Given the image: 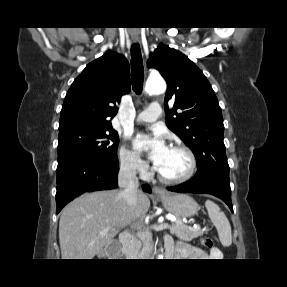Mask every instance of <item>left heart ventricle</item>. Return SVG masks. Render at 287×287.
I'll return each mask as SVG.
<instances>
[{
  "label": "left heart ventricle",
  "instance_id": "b2bd125f",
  "mask_svg": "<svg viewBox=\"0 0 287 287\" xmlns=\"http://www.w3.org/2000/svg\"><path fill=\"white\" fill-rule=\"evenodd\" d=\"M189 169V159L181 150L168 148L158 170L167 177H180Z\"/></svg>",
  "mask_w": 287,
  "mask_h": 287
}]
</instances>
